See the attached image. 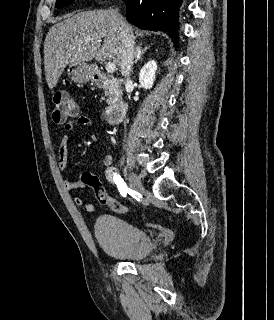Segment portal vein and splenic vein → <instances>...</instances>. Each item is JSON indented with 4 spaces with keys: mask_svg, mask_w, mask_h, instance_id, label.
Segmentation results:
<instances>
[{
    "mask_svg": "<svg viewBox=\"0 0 274 320\" xmlns=\"http://www.w3.org/2000/svg\"><path fill=\"white\" fill-rule=\"evenodd\" d=\"M105 70H107V72H110V74H113V72L117 70L116 64H114V62H108V64H106L105 66Z\"/></svg>",
    "mask_w": 274,
    "mask_h": 320,
    "instance_id": "portal-vein-and-splenic-vein-1",
    "label": "portal vein and splenic vein"
}]
</instances>
